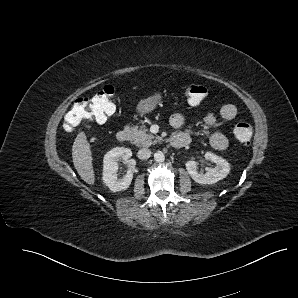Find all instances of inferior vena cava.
<instances>
[{
    "mask_svg": "<svg viewBox=\"0 0 298 298\" xmlns=\"http://www.w3.org/2000/svg\"><path fill=\"white\" fill-rule=\"evenodd\" d=\"M137 156L142 160L148 159L151 156V150L148 148H142L138 151Z\"/></svg>",
    "mask_w": 298,
    "mask_h": 298,
    "instance_id": "1",
    "label": "inferior vena cava"
}]
</instances>
